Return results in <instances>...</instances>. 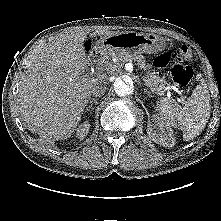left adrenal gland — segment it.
Here are the masks:
<instances>
[{"mask_svg":"<svg viewBox=\"0 0 221 221\" xmlns=\"http://www.w3.org/2000/svg\"><path fill=\"white\" fill-rule=\"evenodd\" d=\"M144 93H146L149 97H152L151 92L148 91L146 88L144 89Z\"/></svg>","mask_w":221,"mask_h":221,"instance_id":"1","label":"left adrenal gland"}]
</instances>
